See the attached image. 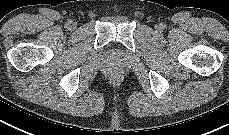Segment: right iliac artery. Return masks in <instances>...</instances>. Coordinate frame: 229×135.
Here are the masks:
<instances>
[{
	"mask_svg": "<svg viewBox=\"0 0 229 135\" xmlns=\"http://www.w3.org/2000/svg\"><path fill=\"white\" fill-rule=\"evenodd\" d=\"M70 22H71V21L69 20V21L66 23V26H69Z\"/></svg>",
	"mask_w": 229,
	"mask_h": 135,
	"instance_id": "1",
	"label": "right iliac artery"
}]
</instances>
